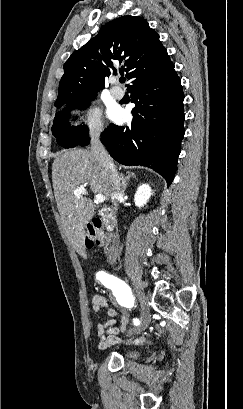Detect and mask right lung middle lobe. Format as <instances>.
I'll return each mask as SVG.
<instances>
[{
	"label": "right lung middle lobe",
	"mask_w": 243,
	"mask_h": 409,
	"mask_svg": "<svg viewBox=\"0 0 243 409\" xmlns=\"http://www.w3.org/2000/svg\"><path fill=\"white\" fill-rule=\"evenodd\" d=\"M94 99L89 98L78 102L66 104L64 112H58L54 118L52 133L57 138V143L64 148H73L88 138V128L86 126L71 127L65 117L69 116L68 110L72 108L85 109ZM64 104L55 105L60 108Z\"/></svg>",
	"instance_id": "1"
}]
</instances>
